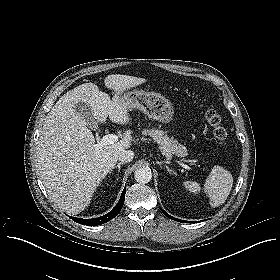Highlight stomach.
I'll use <instances>...</instances> for the list:
<instances>
[{
    "label": "stomach",
    "instance_id": "0dacf381",
    "mask_svg": "<svg viewBox=\"0 0 280 280\" xmlns=\"http://www.w3.org/2000/svg\"><path fill=\"white\" fill-rule=\"evenodd\" d=\"M131 109H139L149 118L168 124L173 119L174 108L164 96L155 92L133 90L124 94Z\"/></svg>",
    "mask_w": 280,
    "mask_h": 280
}]
</instances>
